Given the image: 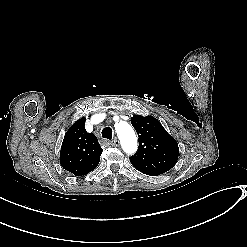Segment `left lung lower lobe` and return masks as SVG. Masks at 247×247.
I'll return each mask as SVG.
<instances>
[{
	"label": "left lung lower lobe",
	"instance_id": "obj_1",
	"mask_svg": "<svg viewBox=\"0 0 247 247\" xmlns=\"http://www.w3.org/2000/svg\"><path fill=\"white\" fill-rule=\"evenodd\" d=\"M144 174L150 175V176H156V175H158V174H153V173H144Z\"/></svg>",
	"mask_w": 247,
	"mask_h": 247
}]
</instances>
